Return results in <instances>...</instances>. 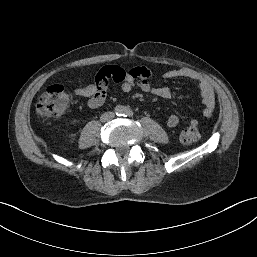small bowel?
Segmentation results:
<instances>
[{
    "mask_svg": "<svg viewBox=\"0 0 257 257\" xmlns=\"http://www.w3.org/2000/svg\"><path fill=\"white\" fill-rule=\"evenodd\" d=\"M97 75H103L107 79H111L120 84V88L124 92H129L132 89H139L142 92L151 93L163 99H169L172 92L167 86H160L154 82L152 72L143 66H133L124 69L116 65H108L102 67ZM166 79L183 78L194 82L199 90V93L204 104L203 115L211 117L215 110L216 97L214 90L208 80L200 73L187 69H172L164 73ZM108 86V85H107ZM74 94L79 97L88 98L87 106L90 109H97L101 107L106 100L107 87L100 89L96 82L91 83L85 87H79L74 90ZM180 122L177 115L171 114L166 118V125L168 127H176ZM190 124L197 126L198 121L191 119Z\"/></svg>",
    "mask_w": 257,
    "mask_h": 257,
    "instance_id": "c3829d8e",
    "label": "small bowel"
}]
</instances>
